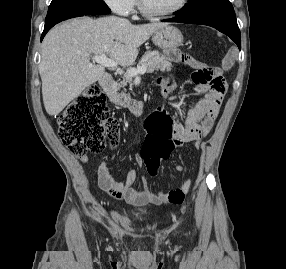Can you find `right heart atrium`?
Returning <instances> with one entry per match:
<instances>
[{
	"instance_id": "right-heart-atrium-1",
	"label": "right heart atrium",
	"mask_w": 286,
	"mask_h": 269,
	"mask_svg": "<svg viewBox=\"0 0 286 269\" xmlns=\"http://www.w3.org/2000/svg\"><path fill=\"white\" fill-rule=\"evenodd\" d=\"M108 8L121 16H128L133 13L135 0H103Z\"/></svg>"
}]
</instances>
